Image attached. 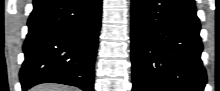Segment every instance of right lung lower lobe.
Returning a JSON list of instances; mask_svg holds the SVG:
<instances>
[{"mask_svg": "<svg viewBox=\"0 0 220 91\" xmlns=\"http://www.w3.org/2000/svg\"><path fill=\"white\" fill-rule=\"evenodd\" d=\"M101 13V0H34L19 74L22 90L51 82L93 91Z\"/></svg>", "mask_w": 220, "mask_h": 91, "instance_id": "1", "label": "right lung lower lobe"}]
</instances>
